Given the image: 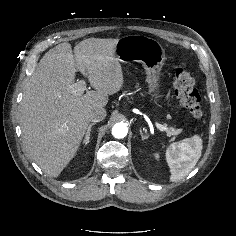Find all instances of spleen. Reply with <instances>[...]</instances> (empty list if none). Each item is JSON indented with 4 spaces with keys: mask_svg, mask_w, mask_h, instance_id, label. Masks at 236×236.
Instances as JSON below:
<instances>
[{
    "mask_svg": "<svg viewBox=\"0 0 236 236\" xmlns=\"http://www.w3.org/2000/svg\"><path fill=\"white\" fill-rule=\"evenodd\" d=\"M202 139L198 135L172 143L166 150L170 166V181H178L188 175L198 162L202 152ZM156 158L159 155L155 154Z\"/></svg>",
    "mask_w": 236,
    "mask_h": 236,
    "instance_id": "obj_1",
    "label": "spleen"
}]
</instances>
